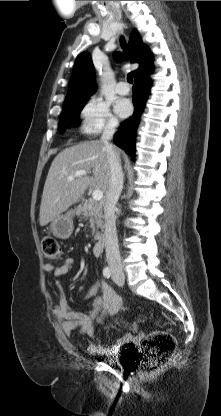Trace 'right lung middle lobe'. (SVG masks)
I'll return each mask as SVG.
<instances>
[{"instance_id": "dd1d6c3e", "label": "right lung middle lobe", "mask_w": 221, "mask_h": 416, "mask_svg": "<svg viewBox=\"0 0 221 416\" xmlns=\"http://www.w3.org/2000/svg\"><path fill=\"white\" fill-rule=\"evenodd\" d=\"M87 98L64 102L59 129L61 132L71 126L79 125V113L86 104Z\"/></svg>"}]
</instances>
